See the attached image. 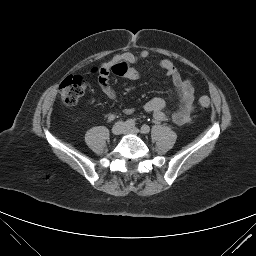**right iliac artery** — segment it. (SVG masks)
Here are the masks:
<instances>
[{
  "mask_svg": "<svg viewBox=\"0 0 256 256\" xmlns=\"http://www.w3.org/2000/svg\"><path fill=\"white\" fill-rule=\"evenodd\" d=\"M125 125L127 127H134L135 126V121L133 119H128L125 121Z\"/></svg>",
  "mask_w": 256,
  "mask_h": 256,
  "instance_id": "obj_1",
  "label": "right iliac artery"
}]
</instances>
